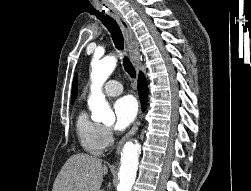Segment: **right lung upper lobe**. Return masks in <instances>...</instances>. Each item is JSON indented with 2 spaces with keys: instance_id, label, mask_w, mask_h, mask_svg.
Masks as SVG:
<instances>
[{
  "instance_id": "1",
  "label": "right lung upper lobe",
  "mask_w": 251,
  "mask_h": 191,
  "mask_svg": "<svg viewBox=\"0 0 251 191\" xmlns=\"http://www.w3.org/2000/svg\"><path fill=\"white\" fill-rule=\"evenodd\" d=\"M142 74V73H140ZM77 97V75H75L73 79V86H72V96H71V103L75 101Z\"/></svg>"
}]
</instances>
